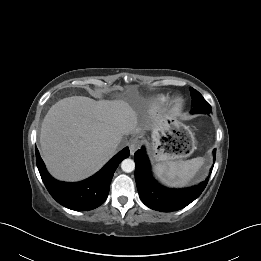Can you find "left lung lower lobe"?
<instances>
[{"label":"left lung lower lobe","mask_w":261,"mask_h":261,"mask_svg":"<svg viewBox=\"0 0 261 261\" xmlns=\"http://www.w3.org/2000/svg\"><path fill=\"white\" fill-rule=\"evenodd\" d=\"M213 153L215 159L216 149L213 150ZM134 160L136 164L135 180L142 202L149 208L161 212H171L186 207L200 196L209 180L207 178L199 185L187 189L166 188L153 178L144 147L135 152Z\"/></svg>","instance_id":"obj_1"}]
</instances>
